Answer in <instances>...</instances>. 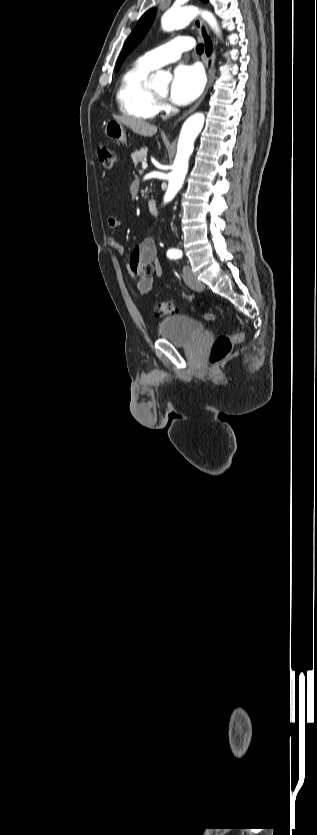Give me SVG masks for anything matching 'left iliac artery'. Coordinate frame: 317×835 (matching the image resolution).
<instances>
[{
    "instance_id": "obj_1",
    "label": "left iliac artery",
    "mask_w": 317,
    "mask_h": 835,
    "mask_svg": "<svg viewBox=\"0 0 317 835\" xmlns=\"http://www.w3.org/2000/svg\"><path fill=\"white\" fill-rule=\"evenodd\" d=\"M170 257H171V258H174V259H179V258H181V257H182V251H181V250H173V251L170 253Z\"/></svg>"
}]
</instances>
